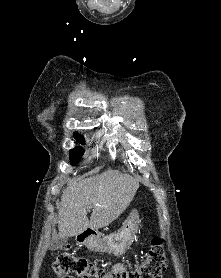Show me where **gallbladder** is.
Segmentation results:
<instances>
[{
  "label": "gallbladder",
  "instance_id": "gallbladder-1",
  "mask_svg": "<svg viewBox=\"0 0 221 278\" xmlns=\"http://www.w3.org/2000/svg\"><path fill=\"white\" fill-rule=\"evenodd\" d=\"M67 241V237H63L61 239H59L54 245H53V249H60L62 248V246L66 243Z\"/></svg>",
  "mask_w": 221,
  "mask_h": 278
}]
</instances>
